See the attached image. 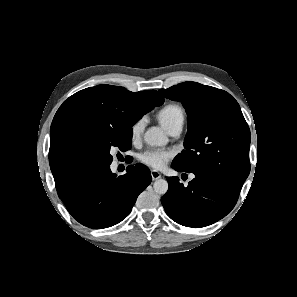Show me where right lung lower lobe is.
Wrapping results in <instances>:
<instances>
[{
    "instance_id": "1",
    "label": "right lung lower lobe",
    "mask_w": 297,
    "mask_h": 297,
    "mask_svg": "<svg viewBox=\"0 0 297 297\" xmlns=\"http://www.w3.org/2000/svg\"><path fill=\"white\" fill-rule=\"evenodd\" d=\"M151 179L143 164L128 166L127 173L118 177L106 165L82 171L58 195L79 223L102 229L128 216Z\"/></svg>"
}]
</instances>
